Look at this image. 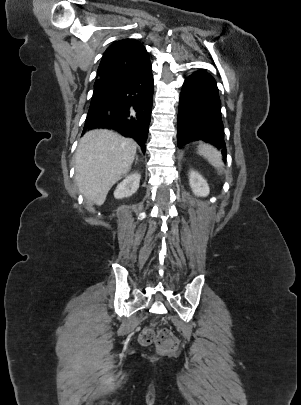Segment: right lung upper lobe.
I'll list each match as a JSON object with an SVG mask.
<instances>
[{"mask_svg":"<svg viewBox=\"0 0 301 405\" xmlns=\"http://www.w3.org/2000/svg\"><path fill=\"white\" fill-rule=\"evenodd\" d=\"M145 47L134 39H123L111 44L103 54L94 84V93L109 94L126 81L147 60Z\"/></svg>","mask_w":301,"mask_h":405,"instance_id":"obj_1","label":"right lung upper lobe"}]
</instances>
